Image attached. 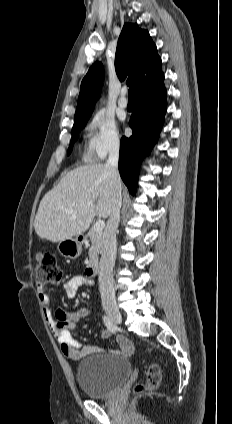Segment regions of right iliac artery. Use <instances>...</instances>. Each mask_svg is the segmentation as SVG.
Returning a JSON list of instances; mask_svg holds the SVG:
<instances>
[{
	"mask_svg": "<svg viewBox=\"0 0 232 424\" xmlns=\"http://www.w3.org/2000/svg\"><path fill=\"white\" fill-rule=\"evenodd\" d=\"M103 321L105 326L112 332L116 333L117 327L113 324V322L110 320V318L106 315L103 316Z\"/></svg>",
	"mask_w": 232,
	"mask_h": 424,
	"instance_id": "obj_1",
	"label": "right iliac artery"
}]
</instances>
